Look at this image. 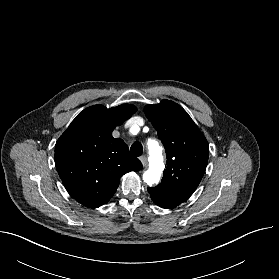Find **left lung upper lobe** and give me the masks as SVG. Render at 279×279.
<instances>
[{
    "label": "left lung upper lobe",
    "instance_id": "5c2ea615",
    "mask_svg": "<svg viewBox=\"0 0 279 279\" xmlns=\"http://www.w3.org/2000/svg\"><path fill=\"white\" fill-rule=\"evenodd\" d=\"M145 114L157 130L167 156L161 183L148 188V192L153 201L179 205L190 198L203 177L209 144L186 111L173 101L147 105Z\"/></svg>",
    "mask_w": 279,
    "mask_h": 279
}]
</instances>
